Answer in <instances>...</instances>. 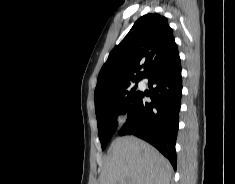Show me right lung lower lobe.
<instances>
[{
  "instance_id": "obj_1",
  "label": "right lung lower lobe",
  "mask_w": 235,
  "mask_h": 184,
  "mask_svg": "<svg viewBox=\"0 0 235 184\" xmlns=\"http://www.w3.org/2000/svg\"><path fill=\"white\" fill-rule=\"evenodd\" d=\"M149 93L139 92L127 110L119 135H135L156 147L176 170L175 143L182 96L181 60L178 50L147 75ZM149 96L151 102L144 97Z\"/></svg>"
}]
</instances>
